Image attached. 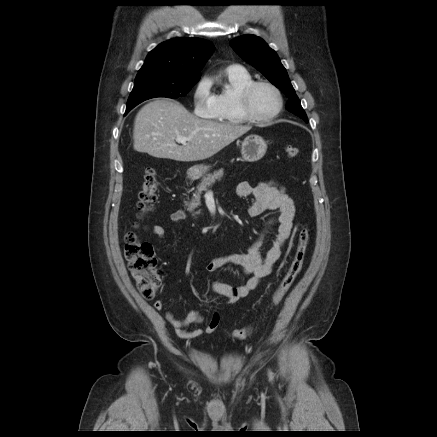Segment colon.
Segmentation results:
<instances>
[{
    "mask_svg": "<svg viewBox=\"0 0 437 437\" xmlns=\"http://www.w3.org/2000/svg\"><path fill=\"white\" fill-rule=\"evenodd\" d=\"M285 154L288 158H295L299 150L298 148L287 145ZM158 181L156 171L149 167L145 170L141 189L138 194V217L144 218L153 209L157 199ZM139 225L136 224V227ZM310 230L304 227L300 230L298 236V244L291 264L282 277L279 285L272 293L268 300L267 306L263 312L261 319L277 306L285 294L288 292L295 279L301 272L305 256L309 244ZM124 255L128 264L130 274L136 282L137 288L141 295L146 299H151L162 285L163 274L157 265V259L151 244L141 240L137 232L130 231L125 235ZM258 324V321L243 328L235 329L231 333V337L235 340H243L251 334L253 329Z\"/></svg>",
    "mask_w": 437,
    "mask_h": 437,
    "instance_id": "colon-1",
    "label": "colon"
}]
</instances>
